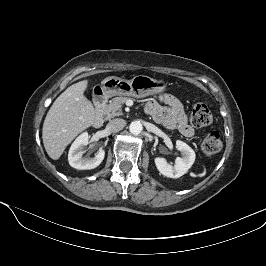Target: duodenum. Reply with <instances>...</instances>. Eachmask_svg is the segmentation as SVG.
<instances>
[{"instance_id": "410a0bca", "label": "duodenum", "mask_w": 266, "mask_h": 266, "mask_svg": "<svg viewBox=\"0 0 266 266\" xmlns=\"http://www.w3.org/2000/svg\"><path fill=\"white\" fill-rule=\"evenodd\" d=\"M107 100V94L104 90H97L93 96L95 114L93 117V126L98 128L103 124V108Z\"/></svg>"}]
</instances>
